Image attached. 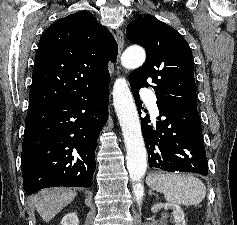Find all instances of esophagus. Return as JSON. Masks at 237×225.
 <instances>
[{
  "label": "esophagus",
  "mask_w": 237,
  "mask_h": 225,
  "mask_svg": "<svg viewBox=\"0 0 237 225\" xmlns=\"http://www.w3.org/2000/svg\"><path fill=\"white\" fill-rule=\"evenodd\" d=\"M116 41H117V44H118L117 63H119L120 62V56H121V53H122L123 48H124V34H123V31L120 30V29L116 30ZM124 73H125V71H124Z\"/></svg>",
  "instance_id": "34e87169"
}]
</instances>
